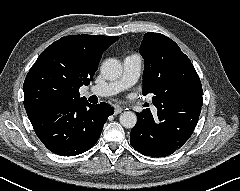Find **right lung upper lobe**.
<instances>
[{
    "mask_svg": "<svg viewBox=\"0 0 240 191\" xmlns=\"http://www.w3.org/2000/svg\"><path fill=\"white\" fill-rule=\"evenodd\" d=\"M118 36L70 35L52 43L38 57L24 82V107L79 101V88L88 85L102 53Z\"/></svg>",
    "mask_w": 240,
    "mask_h": 191,
    "instance_id": "obj_1",
    "label": "right lung upper lobe"
}]
</instances>
